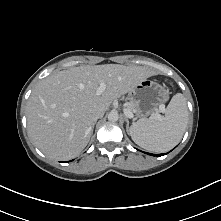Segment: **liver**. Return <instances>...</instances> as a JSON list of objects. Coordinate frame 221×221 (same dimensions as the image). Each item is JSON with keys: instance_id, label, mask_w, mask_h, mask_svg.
<instances>
[{"instance_id": "6515ba94", "label": "liver", "mask_w": 221, "mask_h": 221, "mask_svg": "<svg viewBox=\"0 0 221 221\" xmlns=\"http://www.w3.org/2000/svg\"><path fill=\"white\" fill-rule=\"evenodd\" d=\"M155 74L146 67L119 64L80 66L53 73L37 84L28 100V133L49 158H75L90 140L93 113L105 112L114 99ZM102 82L106 89L97 95Z\"/></svg>"}]
</instances>
